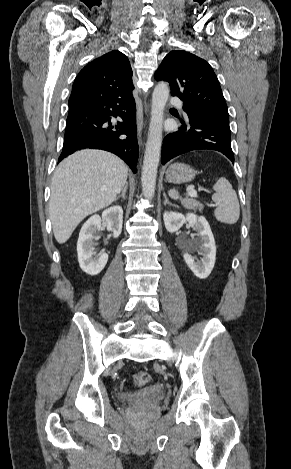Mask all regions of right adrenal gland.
Listing matches in <instances>:
<instances>
[{"label": "right adrenal gland", "instance_id": "obj_1", "mask_svg": "<svg viewBox=\"0 0 291 469\" xmlns=\"http://www.w3.org/2000/svg\"><path fill=\"white\" fill-rule=\"evenodd\" d=\"M127 188H128V183L125 184L124 188L122 189V192L121 194L115 199V201H117L119 198H123L125 199V194H126V191H127Z\"/></svg>", "mask_w": 291, "mask_h": 469}]
</instances>
